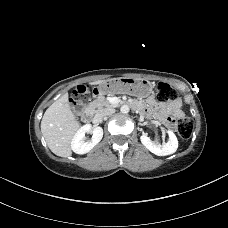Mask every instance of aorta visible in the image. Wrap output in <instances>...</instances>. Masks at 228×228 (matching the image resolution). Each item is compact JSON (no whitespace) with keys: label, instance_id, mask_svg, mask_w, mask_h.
Returning <instances> with one entry per match:
<instances>
[{"label":"aorta","instance_id":"obj_1","mask_svg":"<svg viewBox=\"0 0 228 228\" xmlns=\"http://www.w3.org/2000/svg\"><path fill=\"white\" fill-rule=\"evenodd\" d=\"M129 106L128 105H123L120 108L121 113L127 114L129 112Z\"/></svg>","mask_w":228,"mask_h":228}]
</instances>
